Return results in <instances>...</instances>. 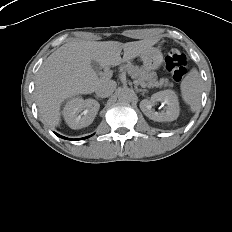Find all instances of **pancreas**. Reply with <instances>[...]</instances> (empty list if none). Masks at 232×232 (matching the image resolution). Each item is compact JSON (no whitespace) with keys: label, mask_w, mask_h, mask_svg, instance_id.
<instances>
[{"label":"pancreas","mask_w":232,"mask_h":232,"mask_svg":"<svg viewBox=\"0 0 232 232\" xmlns=\"http://www.w3.org/2000/svg\"><path fill=\"white\" fill-rule=\"evenodd\" d=\"M120 70L127 71L132 78L137 79L139 83H145L148 87H162L170 85L168 79L162 78L158 81L155 72L139 68L137 66L132 65L131 63L121 66Z\"/></svg>","instance_id":"cf45deb5"}]
</instances>
